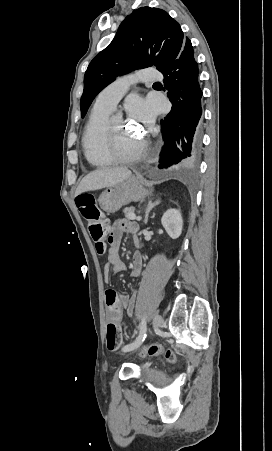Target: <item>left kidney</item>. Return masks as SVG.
Listing matches in <instances>:
<instances>
[{"instance_id":"left-kidney-1","label":"left kidney","mask_w":272,"mask_h":451,"mask_svg":"<svg viewBox=\"0 0 272 451\" xmlns=\"http://www.w3.org/2000/svg\"><path fill=\"white\" fill-rule=\"evenodd\" d=\"M161 224L165 227L172 239L179 237L183 229V220L180 210H167L161 218Z\"/></svg>"}]
</instances>
